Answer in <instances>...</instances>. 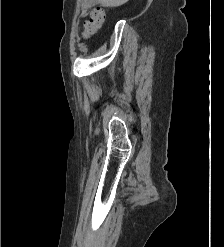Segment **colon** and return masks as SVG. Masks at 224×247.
Returning a JSON list of instances; mask_svg holds the SVG:
<instances>
[{
  "mask_svg": "<svg viewBox=\"0 0 224 247\" xmlns=\"http://www.w3.org/2000/svg\"><path fill=\"white\" fill-rule=\"evenodd\" d=\"M105 13L102 9H95L92 11L89 20L85 24L86 35L94 34L103 24Z\"/></svg>",
  "mask_w": 224,
  "mask_h": 247,
  "instance_id": "5ec220e1",
  "label": "colon"
}]
</instances>
